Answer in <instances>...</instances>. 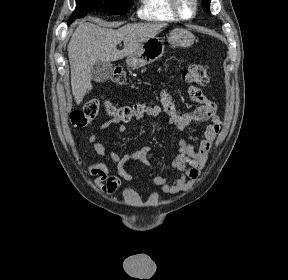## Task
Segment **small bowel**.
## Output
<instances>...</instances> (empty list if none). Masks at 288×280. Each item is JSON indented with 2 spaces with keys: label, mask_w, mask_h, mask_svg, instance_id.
<instances>
[{
  "label": "small bowel",
  "mask_w": 288,
  "mask_h": 280,
  "mask_svg": "<svg viewBox=\"0 0 288 280\" xmlns=\"http://www.w3.org/2000/svg\"><path fill=\"white\" fill-rule=\"evenodd\" d=\"M188 93L190 99L199 104L198 107L192 111L182 112L179 110L167 89L160 92L159 105L146 107L145 109L144 116L158 117L163 114L167 117L168 123L177 127L180 131H184L191 124L209 121L204 132V139L199 143L198 147H195V145L186 138L179 141L176 155L169 163L170 168L181 172L179 178L172 179L165 176H151L152 183L160 187V189L167 194L186 191L195 184L209 159L213 142L222 126L221 120L216 113V105L203 94L201 89L196 86H191ZM118 122L119 120L117 119L105 122L100 129L89 138V142L96 153L117 166L119 176L110 174L109 168L101 162H95L88 168L90 174L95 176V185L109 195H114L121 191L122 181H132V176L125 170L127 162L134 160L149 166L152 157L151 150L148 146L137 151L126 152L123 155H119L115 150L106 149L102 142V136L107 129ZM126 130V123H122L118 128L119 133H124Z\"/></svg>",
  "instance_id": "obj_1"
}]
</instances>
